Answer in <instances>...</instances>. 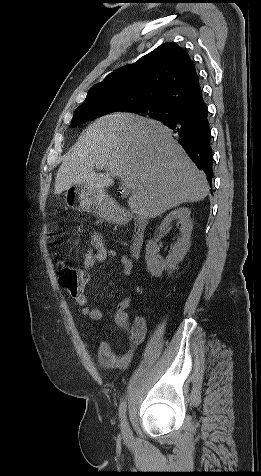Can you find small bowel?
I'll use <instances>...</instances> for the list:
<instances>
[{
    "label": "small bowel",
    "mask_w": 261,
    "mask_h": 476,
    "mask_svg": "<svg viewBox=\"0 0 261 476\" xmlns=\"http://www.w3.org/2000/svg\"><path fill=\"white\" fill-rule=\"evenodd\" d=\"M108 258H117L121 263L122 273L129 276L133 271V262L125 255H119L115 250L109 249L103 237L94 232L92 233L89 246L83 255V268L79 271L83 278L79 289L70 293L75 302L80 306L81 313L92 320H99L102 317V311L95 306L88 305V297L85 293V286L88 282V271L97 264L105 262ZM131 300L129 297L123 298L117 305L115 313V323L125 334L128 347L122 353H115L111 346L105 341H99L96 346L97 360L100 367L104 369H125L131 362L135 349L140 345L146 335V322L138 317L131 319L128 309Z\"/></svg>",
    "instance_id": "small-bowel-1"
}]
</instances>
